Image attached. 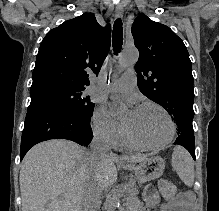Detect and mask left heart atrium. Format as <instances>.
I'll return each instance as SVG.
<instances>
[{"label":"left heart atrium","mask_w":219,"mask_h":211,"mask_svg":"<svg viewBox=\"0 0 219 211\" xmlns=\"http://www.w3.org/2000/svg\"><path fill=\"white\" fill-rule=\"evenodd\" d=\"M135 109H136V108H132V109L130 110V113H132Z\"/></svg>","instance_id":"left-heart-atrium-1"}]
</instances>
